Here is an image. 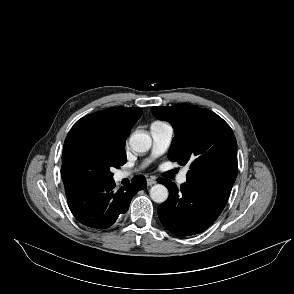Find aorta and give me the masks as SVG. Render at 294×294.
Wrapping results in <instances>:
<instances>
[{"mask_svg":"<svg viewBox=\"0 0 294 294\" xmlns=\"http://www.w3.org/2000/svg\"><path fill=\"white\" fill-rule=\"evenodd\" d=\"M129 144L135 152L143 153L150 149L152 140L146 133H134L130 137ZM168 195V189L162 184H156L150 189V197L156 203L165 202Z\"/></svg>","mask_w":294,"mask_h":294,"instance_id":"aorta-1","label":"aorta"}]
</instances>
